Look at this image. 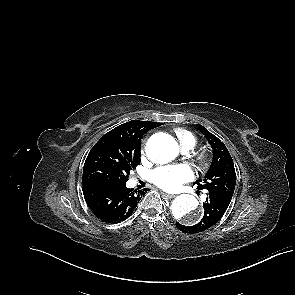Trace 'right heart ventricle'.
Instances as JSON below:
<instances>
[{
  "instance_id": "right-heart-ventricle-1",
  "label": "right heart ventricle",
  "mask_w": 295,
  "mask_h": 295,
  "mask_svg": "<svg viewBox=\"0 0 295 295\" xmlns=\"http://www.w3.org/2000/svg\"><path fill=\"white\" fill-rule=\"evenodd\" d=\"M175 135L179 140L182 150H192L197 145V137L189 130L178 128L175 130Z\"/></svg>"
}]
</instances>
